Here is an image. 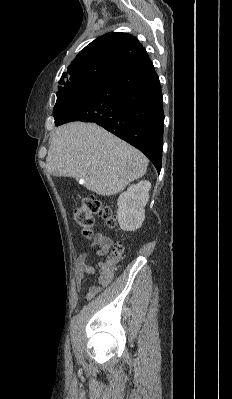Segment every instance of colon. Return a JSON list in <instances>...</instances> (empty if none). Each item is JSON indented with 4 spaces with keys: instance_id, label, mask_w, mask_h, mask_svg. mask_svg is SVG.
I'll use <instances>...</instances> for the list:
<instances>
[{
    "instance_id": "colon-1",
    "label": "colon",
    "mask_w": 232,
    "mask_h": 399,
    "mask_svg": "<svg viewBox=\"0 0 232 399\" xmlns=\"http://www.w3.org/2000/svg\"><path fill=\"white\" fill-rule=\"evenodd\" d=\"M81 207L84 211L79 209H74V227L78 228L79 223L81 227V235L84 239H89L92 232L95 231V226H93V219H98V214L101 218L108 217V228H113L117 226V210H112L111 208L103 209V199H87L86 202H81ZM97 213V214H94ZM112 258L108 259V265L105 266V273H101L100 270L96 271V283H92V290L96 292H101V290H107V284H113V262L114 270H119V259H124L125 256H129V251H125L121 244H112Z\"/></svg>"
}]
</instances>
